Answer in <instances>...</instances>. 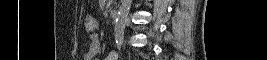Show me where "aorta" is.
Segmentation results:
<instances>
[{
    "instance_id": "762f6f07",
    "label": "aorta",
    "mask_w": 267,
    "mask_h": 60,
    "mask_svg": "<svg viewBox=\"0 0 267 60\" xmlns=\"http://www.w3.org/2000/svg\"><path fill=\"white\" fill-rule=\"evenodd\" d=\"M132 0H121V5L115 22V40L118 47H121L124 40V28L127 16L131 7Z\"/></svg>"
}]
</instances>
